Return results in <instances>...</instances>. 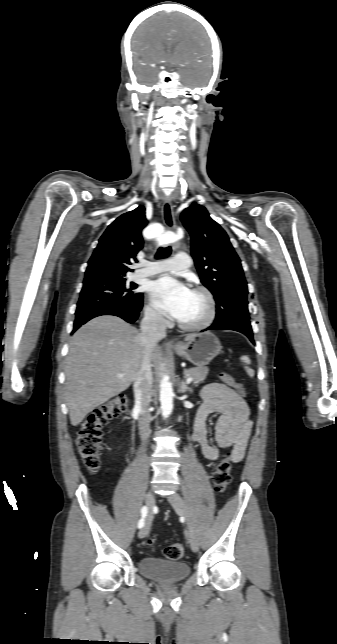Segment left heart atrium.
I'll use <instances>...</instances> for the list:
<instances>
[{"label":"left heart atrium","mask_w":337,"mask_h":644,"mask_svg":"<svg viewBox=\"0 0 337 644\" xmlns=\"http://www.w3.org/2000/svg\"><path fill=\"white\" fill-rule=\"evenodd\" d=\"M154 305L165 315L179 319L192 291L183 283L169 276H163L150 286Z\"/></svg>","instance_id":"1"}]
</instances>
